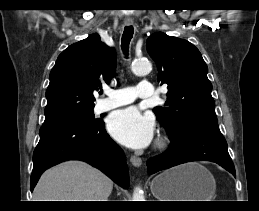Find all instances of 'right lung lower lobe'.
<instances>
[{"instance_id":"98d812e1","label":"right lung lower lobe","mask_w":259,"mask_h":211,"mask_svg":"<svg viewBox=\"0 0 259 211\" xmlns=\"http://www.w3.org/2000/svg\"><path fill=\"white\" fill-rule=\"evenodd\" d=\"M33 154L30 188L33 191L42 172L66 160H81L100 169L123 188L129 187V172L122 149L105 131V124L70 122L43 124Z\"/></svg>"}]
</instances>
